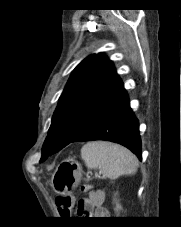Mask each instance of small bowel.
<instances>
[{
	"instance_id": "small-bowel-1",
	"label": "small bowel",
	"mask_w": 181,
	"mask_h": 227,
	"mask_svg": "<svg viewBox=\"0 0 181 227\" xmlns=\"http://www.w3.org/2000/svg\"><path fill=\"white\" fill-rule=\"evenodd\" d=\"M105 200V195L102 191H92L89 197L86 199H81L78 202L77 214L84 215L88 214L95 218H104L108 216V210L103 207V202Z\"/></svg>"
}]
</instances>
